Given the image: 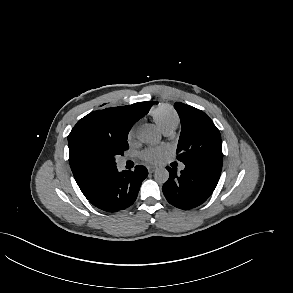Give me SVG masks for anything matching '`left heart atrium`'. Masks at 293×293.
Instances as JSON below:
<instances>
[{
    "instance_id": "39dd6f15",
    "label": "left heart atrium",
    "mask_w": 293,
    "mask_h": 293,
    "mask_svg": "<svg viewBox=\"0 0 293 293\" xmlns=\"http://www.w3.org/2000/svg\"><path fill=\"white\" fill-rule=\"evenodd\" d=\"M166 153V148L164 147H154L148 148L142 152L141 157L143 160L149 163L158 162Z\"/></svg>"
}]
</instances>
